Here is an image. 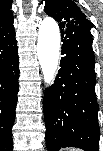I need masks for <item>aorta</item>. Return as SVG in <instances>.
Instances as JSON below:
<instances>
[{
	"label": "aorta",
	"instance_id": "762f6f07",
	"mask_svg": "<svg viewBox=\"0 0 103 151\" xmlns=\"http://www.w3.org/2000/svg\"><path fill=\"white\" fill-rule=\"evenodd\" d=\"M37 56L46 86L54 80L60 56V30L57 22L51 18L43 19L38 31Z\"/></svg>",
	"mask_w": 103,
	"mask_h": 151
}]
</instances>
